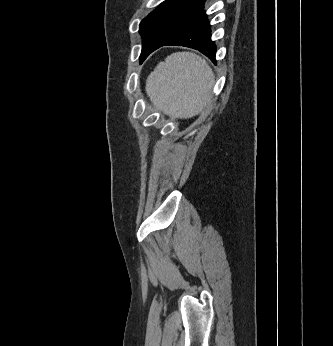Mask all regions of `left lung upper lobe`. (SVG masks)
I'll return each mask as SVG.
<instances>
[{
    "instance_id": "5c2ea615",
    "label": "left lung upper lobe",
    "mask_w": 333,
    "mask_h": 346,
    "mask_svg": "<svg viewBox=\"0 0 333 346\" xmlns=\"http://www.w3.org/2000/svg\"><path fill=\"white\" fill-rule=\"evenodd\" d=\"M206 0H165L140 23V61L156 43L173 35L204 8Z\"/></svg>"
}]
</instances>
